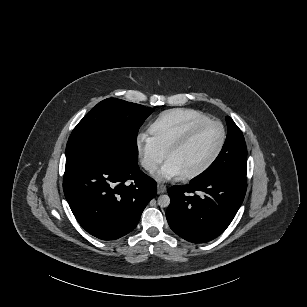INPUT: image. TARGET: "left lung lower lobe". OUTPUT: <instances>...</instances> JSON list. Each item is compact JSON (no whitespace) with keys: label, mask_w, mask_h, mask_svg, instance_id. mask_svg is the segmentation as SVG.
<instances>
[{"label":"left lung lower lobe","mask_w":307,"mask_h":307,"mask_svg":"<svg viewBox=\"0 0 307 307\" xmlns=\"http://www.w3.org/2000/svg\"><path fill=\"white\" fill-rule=\"evenodd\" d=\"M247 189L246 176L219 174L189 185L173 186L166 217L170 228L183 239L204 243L219 236L240 208ZM202 191L206 195L189 193Z\"/></svg>","instance_id":"obj_1"}]
</instances>
